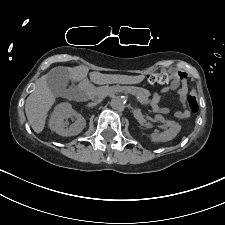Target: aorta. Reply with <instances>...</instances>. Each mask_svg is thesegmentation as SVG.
I'll list each match as a JSON object with an SVG mask.
<instances>
[{
	"instance_id": "762f6f07",
	"label": "aorta",
	"mask_w": 225,
	"mask_h": 225,
	"mask_svg": "<svg viewBox=\"0 0 225 225\" xmlns=\"http://www.w3.org/2000/svg\"><path fill=\"white\" fill-rule=\"evenodd\" d=\"M125 99L122 96H114L111 99L110 105L115 111H123L125 109Z\"/></svg>"
}]
</instances>
